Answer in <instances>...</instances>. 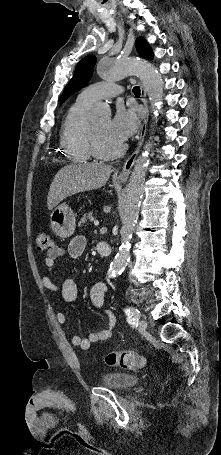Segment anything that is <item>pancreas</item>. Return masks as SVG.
<instances>
[{"label": "pancreas", "instance_id": "1", "mask_svg": "<svg viewBox=\"0 0 221 455\" xmlns=\"http://www.w3.org/2000/svg\"><path fill=\"white\" fill-rule=\"evenodd\" d=\"M88 221H94L93 211H90L82 216L80 222L78 223V227L87 226Z\"/></svg>", "mask_w": 221, "mask_h": 455}]
</instances>
